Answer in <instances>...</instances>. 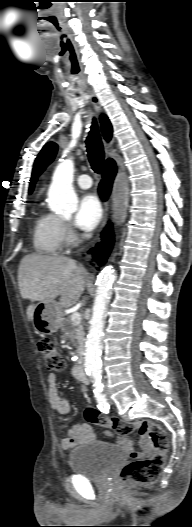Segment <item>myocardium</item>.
I'll use <instances>...</instances> for the list:
<instances>
[{
	"instance_id": "myocardium-1",
	"label": "myocardium",
	"mask_w": 192,
	"mask_h": 527,
	"mask_svg": "<svg viewBox=\"0 0 192 527\" xmlns=\"http://www.w3.org/2000/svg\"><path fill=\"white\" fill-rule=\"evenodd\" d=\"M68 239H69V241H75V237L73 235H71V234L68 236Z\"/></svg>"
}]
</instances>
